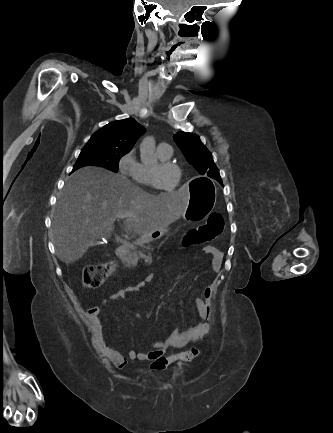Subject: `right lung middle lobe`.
Segmentation results:
<instances>
[{
  "label": "right lung middle lobe",
  "mask_w": 333,
  "mask_h": 433,
  "mask_svg": "<svg viewBox=\"0 0 333 433\" xmlns=\"http://www.w3.org/2000/svg\"><path fill=\"white\" fill-rule=\"evenodd\" d=\"M126 153H128V151L95 145H85L73 169L76 170L85 165H97L117 172L119 160Z\"/></svg>",
  "instance_id": "1"
}]
</instances>
